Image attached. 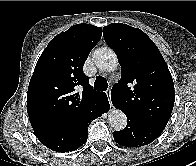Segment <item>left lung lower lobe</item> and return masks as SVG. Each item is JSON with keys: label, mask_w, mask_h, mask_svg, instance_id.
<instances>
[{"label": "left lung lower lobe", "mask_w": 196, "mask_h": 166, "mask_svg": "<svg viewBox=\"0 0 196 166\" xmlns=\"http://www.w3.org/2000/svg\"><path fill=\"white\" fill-rule=\"evenodd\" d=\"M127 126L121 131H114V140L126 147H141L154 141L162 131L159 128L145 125L127 117Z\"/></svg>", "instance_id": "0a47b994"}]
</instances>
